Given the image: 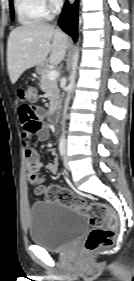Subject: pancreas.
Masks as SVG:
<instances>
[{
  "mask_svg": "<svg viewBox=\"0 0 134 281\" xmlns=\"http://www.w3.org/2000/svg\"><path fill=\"white\" fill-rule=\"evenodd\" d=\"M49 71L50 70L46 68L39 73L41 76L40 88L47 95L50 92V95H48V99L50 100L49 112H53L57 109L59 104V89L56 80L48 79Z\"/></svg>",
  "mask_w": 134,
  "mask_h": 281,
  "instance_id": "pancreas-1",
  "label": "pancreas"
}]
</instances>
